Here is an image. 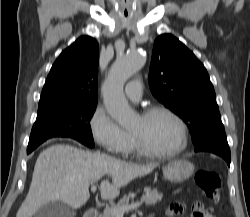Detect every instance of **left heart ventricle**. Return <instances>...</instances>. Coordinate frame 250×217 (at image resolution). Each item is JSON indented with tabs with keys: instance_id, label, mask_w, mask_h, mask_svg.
<instances>
[{
	"instance_id": "obj_1",
	"label": "left heart ventricle",
	"mask_w": 250,
	"mask_h": 217,
	"mask_svg": "<svg viewBox=\"0 0 250 217\" xmlns=\"http://www.w3.org/2000/svg\"><path fill=\"white\" fill-rule=\"evenodd\" d=\"M130 131L149 148L158 152L170 151L180 142V129L177 123L164 113H156L147 118L139 116Z\"/></svg>"
}]
</instances>
